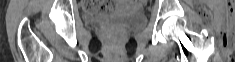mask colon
Wrapping results in <instances>:
<instances>
[{
	"label": "colon",
	"mask_w": 235,
	"mask_h": 62,
	"mask_svg": "<svg viewBox=\"0 0 235 62\" xmlns=\"http://www.w3.org/2000/svg\"><path fill=\"white\" fill-rule=\"evenodd\" d=\"M105 5H103V6H99V7H97V8H95L93 5H91V7L92 8H94V9H98V10H100V11H108V9H109V4H107V3H104Z\"/></svg>",
	"instance_id": "1"
}]
</instances>
